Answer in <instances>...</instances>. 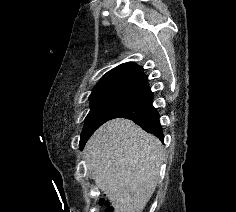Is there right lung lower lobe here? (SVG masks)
<instances>
[{"label":"right lung lower lobe","mask_w":236,"mask_h":212,"mask_svg":"<svg viewBox=\"0 0 236 212\" xmlns=\"http://www.w3.org/2000/svg\"><path fill=\"white\" fill-rule=\"evenodd\" d=\"M152 102L153 93L146 77L129 92L128 97L108 120L121 117L130 119L146 132L152 133L163 141L164 135L159 120L160 115Z\"/></svg>","instance_id":"98d812e1"}]
</instances>
